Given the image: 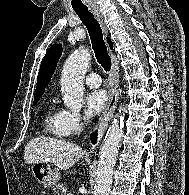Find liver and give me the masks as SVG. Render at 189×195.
<instances>
[{
    "label": "liver",
    "mask_w": 189,
    "mask_h": 195,
    "mask_svg": "<svg viewBox=\"0 0 189 195\" xmlns=\"http://www.w3.org/2000/svg\"><path fill=\"white\" fill-rule=\"evenodd\" d=\"M85 155L83 149L65 140L37 137L30 140L24 150L27 164L49 162L59 170H67Z\"/></svg>",
    "instance_id": "6515ba94"
}]
</instances>
